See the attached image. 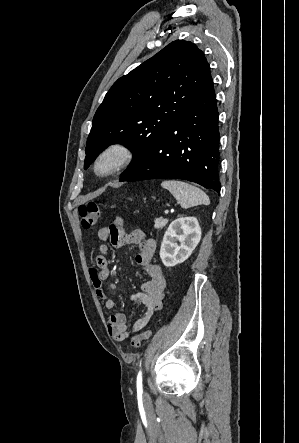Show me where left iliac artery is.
Segmentation results:
<instances>
[{"label":"left iliac artery","instance_id":"obj_1","mask_svg":"<svg viewBox=\"0 0 299 443\" xmlns=\"http://www.w3.org/2000/svg\"><path fill=\"white\" fill-rule=\"evenodd\" d=\"M137 390L142 391V371L139 370L137 375Z\"/></svg>","mask_w":299,"mask_h":443}]
</instances>
